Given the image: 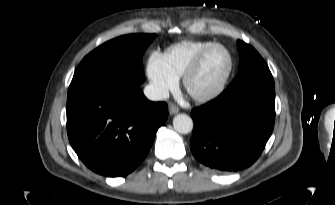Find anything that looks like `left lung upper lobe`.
<instances>
[{
  "label": "left lung upper lobe",
  "mask_w": 335,
  "mask_h": 205,
  "mask_svg": "<svg viewBox=\"0 0 335 205\" xmlns=\"http://www.w3.org/2000/svg\"><path fill=\"white\" fill-rule=\"evenodd\" d=\"M237 47L240 55L239 71L228 87L258 84L274 88L273 76L259 53L241 40L237 41Z\"/></svg>",
  "instance_id": "1"
}]
</instances>
